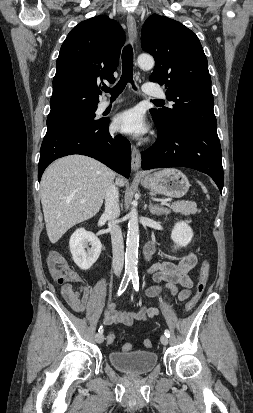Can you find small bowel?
Wrapping results in <instances>:
<instances>
[{
	"label": "small bowel",
	"instance_id": "obj_1",
	"mask_svg": "<svg viewBox=\"0 0 253 413\" xmlns=\"http://www.w3.org/2000/svg\"><path fill=\"white\" fill-rule=\"evenodd\" d=\"M153 252L154 247L148 245L145 249L146 258L150 259ZM196 264L197 256L192 251H189L177 263L164 261L151 264L148 272L152 275L156 284L147 289L146 295L154 298L163 289H167L173 296H177L180 301L188 299L193 285L189 272ZM179 287H182V289L180 290ZM60 290L62 296L74 311L82 313L86 310L92 296V290L88 285L80 284V278L77 274L70 283L62 284ZM157 314L158 309L153 306H144L137 312H127L117 310L113 304H108L104 312V323L106 325L122 324L129 326Z\"/></svg>",
	"mask_w": 253,
	"mask_h": 413
}]
</instances>
